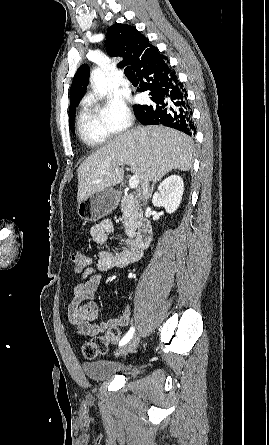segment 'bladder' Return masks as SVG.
Listing matches in <instances>:
<instances>
[{"label": "bladder", "instance_id": "obj_1", "mask_svg": "<svg viewBox=\"0 0 269 445\" xmlns=\"http://www.w3.org/2000/svg\"><path fill=\"white\" fill-rule=\"evenodd\" d=\"M81 367L86 377L92 380H105L117 374L135 376L140 370L136 364H119L109 360L85 361Z\"/></svg>", "mask_w": 269, "mask_h": 445}]
</instances>
